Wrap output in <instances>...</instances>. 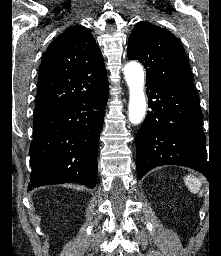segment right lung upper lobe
<instances>
[{
	"instance_id": "1",
	"label": "right lung upper lobe",
	"mask_w": 221,
	"mask_h": 256,
	"mask_svg": "<svg viewBox=\"0 0 221 256\" xmlns=\"http://www.w3.org/2000/svg\"><path fill=\"white\" fill-rule=\"evenodd\" d=\"M107 86L104 60L94 37L84 26H71L44 54L34 116L97 94Z\"/></svg>"
}]
</instances>
